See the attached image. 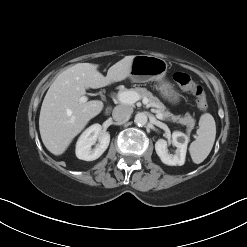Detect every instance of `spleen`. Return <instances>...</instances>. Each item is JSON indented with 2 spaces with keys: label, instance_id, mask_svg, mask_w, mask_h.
Segmentation results:
<instances>
[{
  "label": "spleen",
  "instance_id": "3e777b00",
  "mask_svg": "<svg viewBox=\"0 0 247 247\" xmlns=\"http://www.w3.org/2000/svg\"><path fill=\"white\" fill-rule=\"evenodd\" d=\"M196 140L190 144L189 152L194 163L203 162L212 150L216 137V125L209 113L201 115Z\"/></svg>",
  "mask_w": 247,
  "mask_h": 247
}]
</instances>
